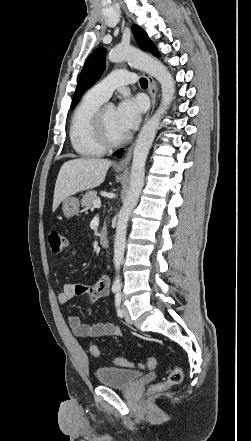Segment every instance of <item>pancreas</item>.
I'll use <instances>...</instances> for the list:
<instances>
[{
	"instance_id": "cf45deb5",
	"label": "pancreas",
	"mask_w": 251,
	"mask_h": 441,
	"mask_svg": "<svg viewBox=\"0 0 251 441\" xmlns=\"http://www.w3.org/2000/svg\"><path fill=\"white\" fill-rule=\"evenodd\" d=\"M97 199L98 197L96 191H87L82 197L81 204L83 207L91 208L93 206V202Z\"/></svg>"
}]
</instances>
